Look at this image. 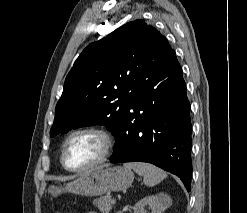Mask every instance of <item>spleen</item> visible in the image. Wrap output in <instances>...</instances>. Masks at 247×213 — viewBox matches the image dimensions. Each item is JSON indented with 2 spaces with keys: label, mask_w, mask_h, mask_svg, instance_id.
<instances>
[{
  "label": "spleen",
  "mask_w": 247,
  "mask_h": 213,
  "mask_svg": "<svg viewBox=\"0 0 247 213\" xmlns=\"http://www.w3.org/2000/svg\"><path fill=\"white\" fill-rule=\"evenodd\" d=\"M124 168L134 170L144 178V184L147 186H155L167 177L166 172L162 169L144 162L125 163Z\"/></svg>",
  "instance_id": "spleen-1"
}]
</instances>
